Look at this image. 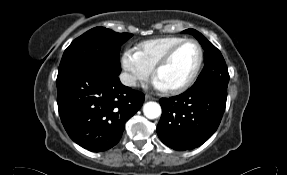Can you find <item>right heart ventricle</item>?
<instances>
[{"label": "right heart ventricle", "instance_id": "right-heart-ventricle-1", "mask_svg": "<svg viewBox=\"0 0 287 175\" xmlns=\"http://www.w3.org/2000/svg\"><path fill=\"white\" fill-rule=\"evenodd\" d=\"M185 38L177 36H165L149 39L136 46V53L141 60L151 69L158 61L176 44Z\"/></svg>", "mask_w": 287, "mask_h": 175}]
</instances>
